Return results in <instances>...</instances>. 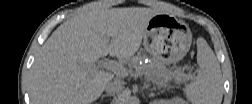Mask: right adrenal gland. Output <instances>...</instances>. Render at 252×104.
I'll use <instances>...</instances> for the list:
<instances>
[{"mask_svg": "<svg viewBox=\"0 0 252 104\" xmlns=\"http://www.w3.org/2000/svg\"><path fill=\"white\" fill-rule=\"evenodd\" d=\"M108 96H111V97H112L113 95H112V94H108V93L102 95V97H101V103H102L103 98L108 97Z\"/></svg>", "mask_w": 252, "mask_h": 104, "instance_id": "right-adrenal-gland-1", "label": "right adrenal gland"}]
</instances>
